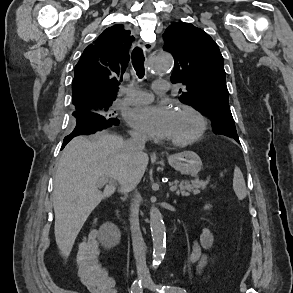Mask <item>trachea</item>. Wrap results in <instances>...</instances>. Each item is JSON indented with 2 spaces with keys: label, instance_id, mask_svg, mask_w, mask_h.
<instances>
[{
  "label": "trachea",
  "instance_id": "trachea-1",
  "mask_svg": "<svg viewBox=\"0 0 293 293\" xmlns=\"http://www.w3.org/2000/svg\"><path fill=\"white\" fill-rule=\"evenodd\" d=\"M144 60L145 58L142 49L140 47H136L132 51V63L139 78H143L145 74Z\"/></svg>",
  "mask_w": 293,
  "mask_h": 293
}]
</instances>
